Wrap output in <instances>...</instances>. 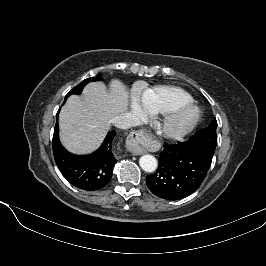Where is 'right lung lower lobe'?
<instances>
[{
  "instance_id": "obj_1",
  "label": "right lung lower lobe",
  "mask_w": 266,
  "mask_h": 266,
  "mask_svg": "<svg viewBox=\"0 0 266 266\" xmlns=\"http://www.w3.org/2000/svg\"><path fill=\"white\" fill-rule=\"evenodd\" d=\"M58 113L53 135V154L59 170L68 182L79 189L94 191L103 188L111 180L117 162L113 153L116 132L113 130L108 133L96 152L77 156L68 152L60 143Z\"/></svg>"
}]
</instances>
